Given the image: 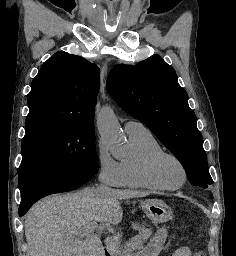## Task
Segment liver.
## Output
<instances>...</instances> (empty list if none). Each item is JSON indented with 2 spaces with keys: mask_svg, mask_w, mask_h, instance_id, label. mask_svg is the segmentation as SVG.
Listing matches in <instances>:
<instances>
[{
  "mask_svg": "<svg viewBox=\"0 0 236 256\" xmlns=\"http://www.w3.org/2000/svg\"><path fill=\"white\" fill-rule=\"evenodd\" d=\"M146 192L111 190L97 194L85 188L76 194H53L30 208L24 224L30 256H103L98 236L80 240L81 228L91 222L120 224L123 210L120 200L143 198ZM120 234L105 238L109 254H116Z\"/></svg>",
  "mask_w": 236,
  "mask_h": 256,
  "instance_id": "obj_1",
  "label": "liver"
}]
</instances>
